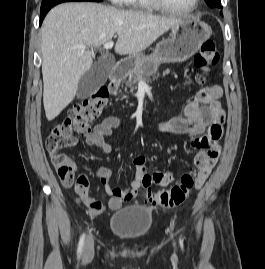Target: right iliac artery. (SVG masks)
Instances as JSON below:
<instances>
[{
	"label": "right iliac artery",
	"instance_id": "right-iliac-artery-1",
	"mask_svg": "<svg viewBox=\"0 0 265 269\" xmlns=\"http://www.w3.org/2000/svg\"><path fill=\"white\" fill-rule=\"evenodd\" d=\"M84 240H85V234H82V236L80 237V240H79L78 248H77L78 257H80V255L82 253Z\"/></svg>",
	"mask_w": 265,
	"mask_h": 269
}]
</instances>
